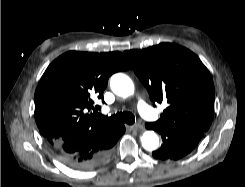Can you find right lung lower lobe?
<instances>
[{
  "label": "right lung lower lobe",
  "instance_id": "right-lung-lower-lobe-1",
  "mask_svg": "<svg viewBox=\"0 0 245 187\" xmlns=\"http://www.w3.org/2000/svg\"><path fill=\"white\" fill-rule=\"evenodd\" d=\"M124 132V126L115 125L89 131L53 147V150L59 160L71 168L78 170L94 169L108 160L112 147Z\"/></svg>",
  "mask_w": 245,
  "mask_h": 187
}]
</instances>
